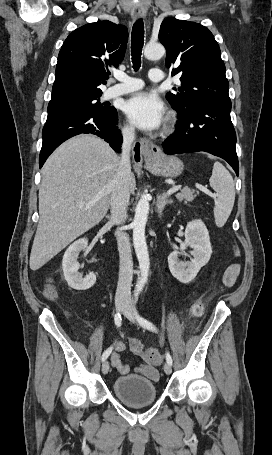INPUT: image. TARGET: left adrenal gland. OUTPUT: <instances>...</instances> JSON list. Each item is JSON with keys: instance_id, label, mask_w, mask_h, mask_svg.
I'll list each match as a JSON object with an SVG mask.
<instances>
[{"instance_id": "obj_1", "label": "left adrenal gland", "mask_w": 272, "mask_h": 455, "mask_svg": "<svg viewBox=\"0 0 272 455\" xmlns=\"http://www.w3.org/2000/svg\"><path fill=\"white\" fill-rule=\"evenodd\" d=\"M171 203H172V199H167L165 193L162 196H159L157 198L156 206H157V213H158L159 218H161L165 206L168 204H171Z\"/></svg>"}]
</instances>
